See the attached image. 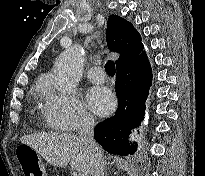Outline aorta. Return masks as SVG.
Here are the masks:
<instances>
[{
  "mask_svg": "<svg viewBox=\"0 0 205 176\" xmlns=\"http://www.w3.org/2000/svg\"><path fill=\"white\" fill-rule=\"evenodd\" d=\"M84 63V50L79 45L65 50L54 65L55 87L61 93H71L79 84Z\"/></svg>",
  "mask_w": 205,
  "mask_h": 176,
  "instance_id": "762f6f07",
  "label": "aorta"
}]
</instances>
